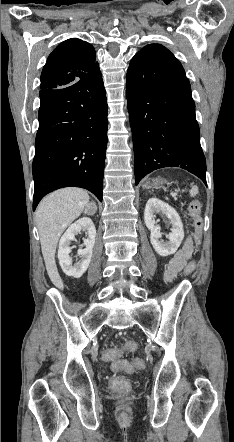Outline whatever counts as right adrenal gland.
<instances>
[{
  "instance_id": "obj_1",
  "label": "right adrenal gland",
  "mask_w": 234,
  "mask_h": 442,
  "mask_svg": "<svg viewBox=\"0 0 234 442\" xmlns=\"http://www.w3.org/2000/svg\"><path fill=\"white\" fill-rule=\"evenodd\" d=\"M90 206H94L95 209H97V207H96L95 204H93V203H90Z\"/></svg>"
}]
</instances>
